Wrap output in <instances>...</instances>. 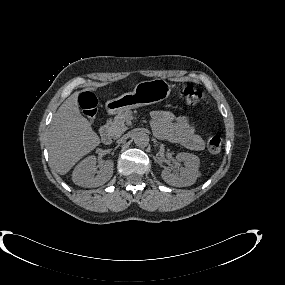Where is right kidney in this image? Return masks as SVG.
I'll return each instance as SVG.
<instances>
[{
	"instance_id": "1",
	"label": "right kidney",
	"mask_w": 285,
	"mask_h": 285,
	"mask_svg": "<svg viewBox=\"0 0 285 285\" xmlns=\"http://www.w3.org/2000/svg\"><path fill=\"white\" fill-rule=\"evenodd\" d=\"M96 163L95 156H88L83 159L73 170V182L78 186L91 188L101 186L109 181L113 175V161H105L99 171H97Z\"/></svg>"
}]
</instances>
